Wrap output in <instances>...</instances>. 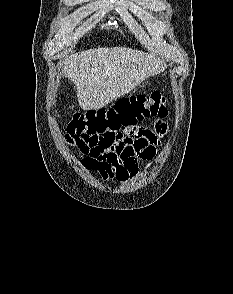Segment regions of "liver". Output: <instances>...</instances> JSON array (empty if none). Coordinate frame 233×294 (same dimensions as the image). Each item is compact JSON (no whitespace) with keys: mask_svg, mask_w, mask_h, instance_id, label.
Wrapping results in <instances>:
<instances>
[{"mask_svg":"<svg viewBox=\"0 0 233 294\" xmlns=\"http://www.w3.org/2000/svg\"><path fill=\"white\" fill-rule=\"evenodd\" d=\"M162 61L128 47H104L72 54L63 72L76 86L83 110H98L164 70Z\"/></svg>","mask_w":233,"mask_h":294,"instance_id":"1","label":"liver"}]
</instances>
